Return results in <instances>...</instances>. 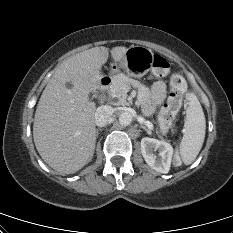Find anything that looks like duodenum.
<instances>
[{
    "mask_svg": "<svg viewBox=\"0 0 233 233\" xmlns=\"http://www.w3.org/2000/svg\"><path fill=\"white\" fill-rule=\"evenodd\" d=\"M112 83V80L110 77H103L100 81V90H101V102L103 103L105 101V93L108 90Z\"/></svg>",
    "mask_w": 233,
    "mask_h": 233,
    "instance_id": "obj_1",
    "label": "duodenum"
}]
</instances>
